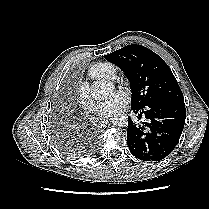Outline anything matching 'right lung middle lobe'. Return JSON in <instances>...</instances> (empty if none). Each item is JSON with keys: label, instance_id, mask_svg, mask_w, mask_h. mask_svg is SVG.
<instances>
[{"label": "right lung middle lobe", "instance_id": "obj_1", "mask_svg": "<svg viewBox=\"0 0 209 209\" xmlns=\"http://www.w3.org/2000/svg\"><path fill=\"white\" fill-rule=\"evenodd\" d=\"M57 146L59 150H61L65 154H68L71 156H77L78 154H80V151L77 149V147L72 146L69 142H66L64 140H58Z\"/></svg>", "mask_w": 209, "mask_h": 209}]
</instances>
